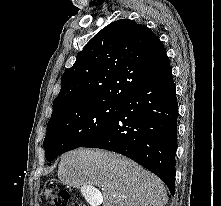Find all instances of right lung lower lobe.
<instances>
[{"label":"right lung lower lobe","instance_id":"obj_1","mask_svg":"<svg viewBox=\"0 0 221 206\" xmlns=\"http://www.w3.org/2000/svg\"><path fill=\"white\" fill-rule=\"evenodd\" d=\"M178 103L171 66L120 104L116 117L81 147L129 157L175 192Z\"/></svg>","mask_w":221,"mask_h":206}]
</instances>
